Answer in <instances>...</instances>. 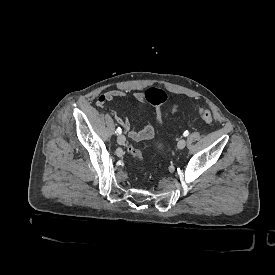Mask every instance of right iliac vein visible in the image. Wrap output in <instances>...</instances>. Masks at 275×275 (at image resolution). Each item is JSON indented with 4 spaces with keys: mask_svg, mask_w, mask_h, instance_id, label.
Here are the masks:
<instances>
[{
    "mask_svg": "<svg viewBox=\"0 0 275 275\" xmlns=\"http://www.w3.org/2000/svg\"><path fill=\"white\" fill-rule=\"evenodd\" d=\"M125 141H126L125 136L122 135V134H119L118 137H117L118 144L123 145L125 143Z\"/></svg>",
    "mask_w": 275,
    "mask_h": 275,
    "instance_id": "63e3f726",
    "label": "right iliac vein"
}]
</instances>
